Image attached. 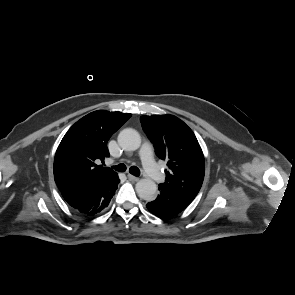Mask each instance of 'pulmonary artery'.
I'll use <instances>...</instances> for the list:
<instances>
[{
	"label": "pulmonary artery",
	"mask_w": 295,
	"mask_h": 295,
	"mask_svg": "<svg viewBox=\"0 0 295 295\" xmlns=\"http://www.w3.org/2000/svg\"><path fill=\"white\" fill-rule=\"evenodd\" d=\"M143 167L148 176L155 182H161L164 180V175L161 173L159 168L153 159V150L150 143L146 142L142 145L139 152Z\"/></svg>",
	"instance_id": "pulmonary-artery-1"
}]
</instances>
